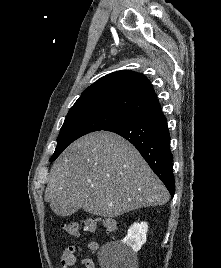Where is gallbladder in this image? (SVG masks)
<instances>
[{"instance_id": "1", "label": "gallbladder", "mask_w": 221, "mask_h": 268, "mask_svg": "<svg viewBox=\"0 0 221 268\" xmlns=\"http://www.w3.org/2000/svg\"><path fill=\"white\" fill-rule=\"evenodd\" d=\"M81 206L79 199H54V202H51V213H57L58 217H70L75 210H81Z\"/></svg>"}]
</instances>
